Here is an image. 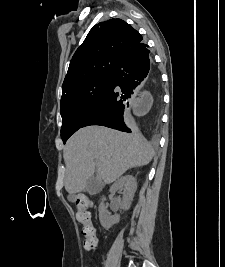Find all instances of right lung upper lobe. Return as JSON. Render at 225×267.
Wrapping results in <instances>:
<instances>
[{"label":"right lung upper lobe","mask_w":225,"mask_h":267,"mask_svg":"<svg viewBox=\"0 0 225 267\" xmlns=\"http://www.w3.org/2000/svg\"><path fill=\"white\" fill-rule=\"evenodd\" d=\"M141 42V34L121 19L96 24L73 55L62 92L89 79L112 74L121 56Z\"/></svg>","instance_id":"cb5924a9"}]
</instances>
